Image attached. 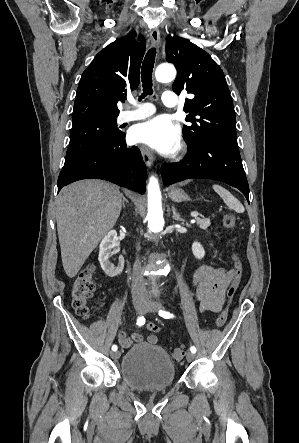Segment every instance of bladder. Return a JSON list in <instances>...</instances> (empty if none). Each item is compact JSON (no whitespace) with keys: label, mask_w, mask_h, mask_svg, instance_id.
Here are the masks:
<instances>
[{"label":"bladder","mask_w":299,"mask_h":443,"mask_svg":"<svg viewBox=\"0 0 299 443\" xmlns=\"http://www.w3.org/2000/svg\"><path fill=\"white\" fill-rule=\"evenodd\" d=\"M176 368L165 350L156 344L139 343L131 347L120 364L121 378L131 388L148 391L173 385Z\"/></svg>","instance_id":"bladder-1"}]
</instances>
